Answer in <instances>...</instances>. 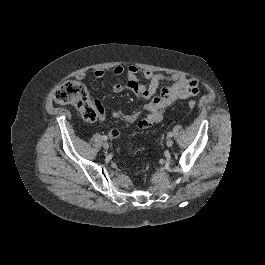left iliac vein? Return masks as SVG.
I'll return each mask as SVG.
<instances>
[{
  "label": "left iliac vein",
  "instance_id": "left-iliac-vein-1",
  "mask_svg": "<svg viewBox=\"0 0 265 265\" xmlns=\"http://www.w3.org/2000/svg\"><path fill=\"white\" fill-rule=\"evenodd\" d=\"M173 140L172 139H168L167 141H166V145L168 146V147H171L172 145H173Z\"/></svg>",
  "mask_w": 265,
  "mask_h": 265
}]
</instances>
